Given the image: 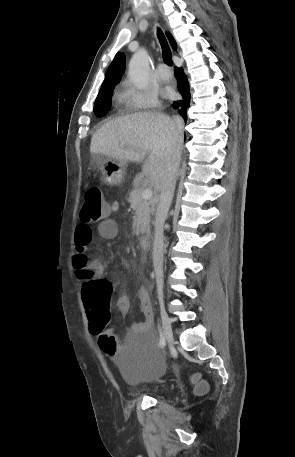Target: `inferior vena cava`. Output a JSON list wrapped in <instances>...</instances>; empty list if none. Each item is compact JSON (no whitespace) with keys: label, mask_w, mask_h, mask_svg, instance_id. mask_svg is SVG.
Listing matches in <instances>:
<instances>
[{"label":"inferior vena cava","mask_w":295,"mask_h":457,"mask_svg":"<svg viewBox=\"0 0 295 457\" xmlns=\"http://www.w3.org/2000/svg\"><path fill=\"white\" fill-rule=\"evenodd\" d=\"M174 121L178 128H180L181 121L177 118H174ZM179 162L180 151L177 149L172 159L168 160L166 171L161 179L160 199L155 214V233L152 255L158 297L163 296V227L174 195Z\"/></svg>","instance_id":"inferior-vena-cava-1"}]
</instances>
